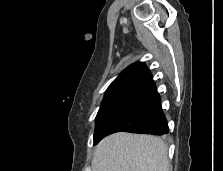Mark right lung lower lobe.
<instances>
[{
    "label": "right lung lower lobe",
    "mask_w": 223,
    "mask_h": 171,
    "mask_svg": "<svg viewBox=\"0 0 223 171\" xmlns=\"http://www.w3.org/2000/svg\"><path fill=\"white\" fill-rule=\"evenodd\" d=\"M119 131L154 135H163L169 132L167 120L161 108V99L157 93L156 87L136 98L133 103L105 129L101 139Z\"/></svg>",
    "instance_id": "right-lung-lower-lobe-1"
}]
</instances>
